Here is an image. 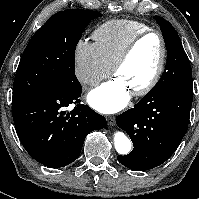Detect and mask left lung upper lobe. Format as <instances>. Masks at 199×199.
<instances>
[{
    "mask_svg": "<svg viewBox=\"0 0 199 199\" xmlns=\"http://www.w3.org/2000/svg\"><path fill=\"white\" fill-rule=\"evenodd\" d=\"M154 18L160 25L165 41L167 64L161 79L148 94H161L177 87H193L191 65L179 35L170 22L159 16Z\"/></svg>",
    "mask_w": 199,
    "mask_h": 199,
    "instance_id": "5c2ea615",
    "label": "left lung upper lobe"
}]
</instances>
